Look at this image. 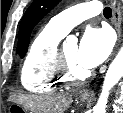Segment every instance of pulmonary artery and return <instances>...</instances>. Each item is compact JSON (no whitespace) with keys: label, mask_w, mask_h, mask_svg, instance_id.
<instances>
[{"label":"pulmonary artery","mask_w":123,"mask_h":113,"mask_svg":"<svg viewBox=\"0 0 123 113\" xmlns=\"http://www.w3.org/2000/svg\"><path fill=\"white\" fill-rule=\"evenodd\" d=\"M100 11L101 3L99 1L78 4L53 17L49 21L48 26L63 34H66L75 25L99 14Z\"/></svg>","instance_id":"pulmonary-artery-1"}]
</instances>
